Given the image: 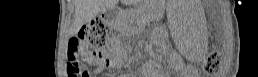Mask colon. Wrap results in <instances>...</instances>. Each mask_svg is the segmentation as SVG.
<instances>
[{"instance_id":"colon-1","label":"colon","mask_w":258,"mask_h":77,"mask_svg":"<svg viewBox=\"0 0 258 77\" xmlns=\"http://www.w3.org/2000/svg\"><path fill=\"white\" fill-rule=\"evenodd\" d=\"M109 29L102 20H94L84 26L78 38L69 44L68 48V74L76 77L81 72V56L84 49L98 48L106 44ZM220 58L217 53H210L203 62L202 67L208 74L217 73Z\"/></svg>"}]
</instances>
